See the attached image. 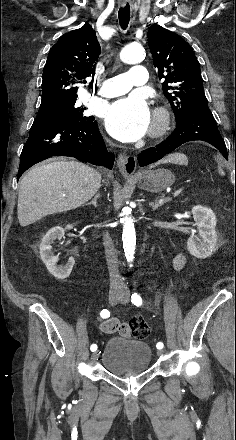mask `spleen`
I'll return each instance as SVG.
<instances>
[{
    "instance_id": "obj_1",
    "label": "spleen",
    "mask_w": 236,
    "mask_h": 440,
    "mask_svg": "<svg viewBox=\"0 0 236 440\" xmlns=\"http://www.w3.org/2000/svg\"><path fill=\"white\" fill-rule=\"evenodd\" d=\"M219 173H220L221 175H224V172H223V170H222L221 168H219Z\"/></svg>"
}]
</instances>
